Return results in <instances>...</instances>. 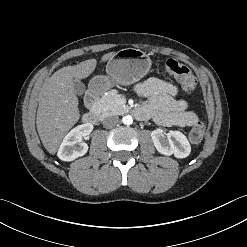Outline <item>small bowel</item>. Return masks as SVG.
<instances>
[{
    "instance_id": "c3829d8e",
    "label": "small bowel",
    "mask_w": 247,
    "mask_h": 247,
    "mask_svg": "<svg viewBox=\"0 0 247 247\" xmlns=\"http://www.w3.org/2000/svg\"><path fill=\"white\" fill-rule=\"evenodd\" d=\"M135 92L148 103L136 110L138 118L152 117L164 126H193L198 122L197 115L188 111V103L178 99V88L164 80L152 77L135 86Z\"/></svg>"
}]
</instances>
